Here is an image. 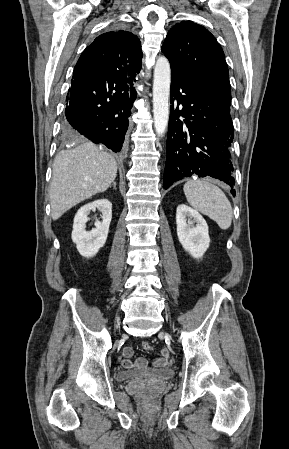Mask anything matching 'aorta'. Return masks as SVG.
Here are the masks:
<instances>
[{
    "label": "aorta",
    "instance_id": "762f6f07",
    "mask_svg": "<svg viewBox=\"0 0 289 449\" xmlns=\"http://www.w3.org/2000/svg\"><path fill=\"white\" fill-rule=\"evenodd\" d=\"M171 70L166 57L157 59L153 81V116L154 128L158 136H163L169 120Z\"/></svg>",
    "mask_w": 289,
    "mask_h": 449
}]
</instances>
